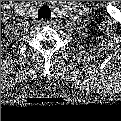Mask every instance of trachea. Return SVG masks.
<instances>
[{
	"mask_svg": "<svg viewBox=\"0 0 121 121\" xmlns=\"http://www.w3.org/2000/svg\"><path fill=\"white\" fill-rule=\"evenodd\" d=\"M51 16V10L47 5H43L38 10V17L39 18H49Z\"/></svg>",
	"mask_w": 121,
	"mask_h": 121,
	"instance_id": "trachea-1",
	"label": "trachea"
}]
</instances>
